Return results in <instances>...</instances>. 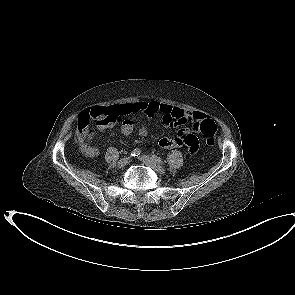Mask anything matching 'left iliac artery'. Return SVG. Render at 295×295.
<instances>
[{
	"mask_svg": "<svg viewBox=\"0 0 295 295\" xmlns=\"http://www.w3.org/2000/svg\"><path fill=\"white\" fill-rule=\"evenodd\" d=\"M152 158L155 162H157L159 164H163L165 162L160 157L156 156L155 154L152 155Z\"/></svg>",
	"mask_w": 295,
	"mask_h": 295,
	"instance_id": "44dca946",
	"label": "left iliac artery"
}]
</instances>
